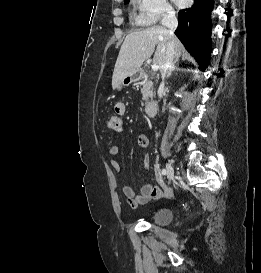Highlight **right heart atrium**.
I'll use <instances>...</instances> for the list:
<instances>
[{"label": "right heart atrium", "instance_id": "1", "mask_svg": "<svg viewBox=\"0 0 261 273\" xmlns=\"http://www.w3.org/2000/svg\"><path fill=\"white\" fill-rule=\"evenodd\" d=\"M138 11L137 21L144 26L172 19L174 10L167 0H134Z\"/></svg>", "mask_w": 261, "mask_h": 273}]
</instances>
